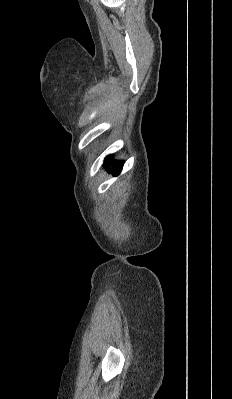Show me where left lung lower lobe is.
Listing matches in <instances>:
<instances>
[{"label": "left lung lower lobe", "instance_id": "0a47b994", "mask_svg": "<svg viewBox=\"0 0 232 399\" xmlns=\"http://www.w3.org/2000/svg\"><path fill=\"white\" fill-rule=\"evenodd\" d=\"M124 161H115L113 158V155H109L105 158L104 160V166H106V169L109 170L110 172L113 171V174L118 175L123 167ZM109 165L112 166V168H109Z\"/></svg>", "mask_w": 232, "mask_h": 399}]
</instances>
